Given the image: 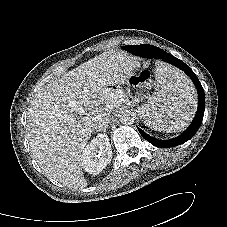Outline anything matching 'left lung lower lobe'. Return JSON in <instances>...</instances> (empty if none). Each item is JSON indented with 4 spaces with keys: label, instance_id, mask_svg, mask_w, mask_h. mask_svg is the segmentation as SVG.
I'll return each instance as SVG.
<instances>
[{
    "label": "left lung lower lobe",
    "instance_id": "1",
    "mask_svg": "<svg viewBox=\"0 0 227 227\" xmlns=\"http://www.w3.org/2000/svg\"><path fill=\"white\" fill-rule=\"evenodd\" d=\"M126 51L138 55L140 57H145V58H159L162 59L163 61H166L178 68H180L182 71H184L193 81L197 88L198 92V98H199V103H198V109L197 113L195 115L194 120L192 121L191 125L178 137L170 139V140H158L155 139L148 134H146L144 131H142L139 127L138 131L142 135L143 138H145L148 142H150L152 145L156 147H161V148H167V147H174L178 146L180 144L185 143L189 139H191L194 134L198 131L201 122L203 120L204 116V110H205V95H204V90L199 82L197 76L195 73L192 71V69L187 66L183 61L180 59L175 58L174 56L166 53L165 51L161 50L160 48H157L152 45H133L131 47H128L125 49Z\"/></svg>",
    "mask_w": 227,
    "mask_h": 227
}]
</instances>
